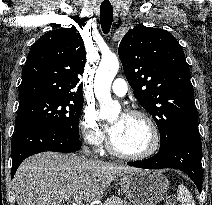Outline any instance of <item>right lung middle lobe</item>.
<instances>
[{
	"instance_id": "right-lung-middle-lobe-1",
	"label": "right lung middle lobe",
	"mask_w": 212,
	"mask_h": 205,
	"mask_svg": "<svg viewBox=\"0 0 212 205\" xmlns=\"http://www.w3.org/2000/svg\"><path fill=\"white\" fill-rule=\"evenodd\" d=\"M83 101L50 95L20 99L15 130L28 126L46 125L79 138L78 123Z\"/></svg>"
}]
</instances>
